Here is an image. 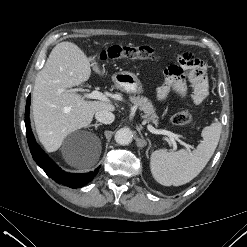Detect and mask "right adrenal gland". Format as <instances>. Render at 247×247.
<instances>
[{
    "label": "right adrenal gland",
    "mask_w": 247,
    "mask_h": 247,
    "mask_svg": "<svg viewBox=\"0 0 247 247\" xmlns=\"http://www.w3.org/2000/svg\"><path fill=\"white\" fill-rule=\"evenodd\" d=\"M101 125H102L101 123H95V124L89 125L88 127H95V129L97 130V128H98L99 126H101Z\"/></svg>",
    "instance_id": "right-adrenal-gland-1"
}]
</instances>
